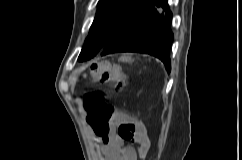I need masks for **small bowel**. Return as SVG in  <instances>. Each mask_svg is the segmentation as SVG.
Segmentation results:
<instances>
[{
	"label": "small bowel",
	"instance_id": "c3829d8e",
	"mask_svg": "<svg viewBox=\"0 0 242 160\" xmlns=\"http://www.w3.org/2000/svg\"><path fill=\"white\" fill-rule=\"evenodd\" d=\"M124 125L133 126L135 129L130 141L126 140L121 132ZM97 136L100 139L104 160H139L150 148V140L144 124L124 112H116L108 130ZM126 142L137 144V147L126 145Z\"/></svg>",
	"mask_w": 242,
	"mask_h": 160
}]
</instances>
